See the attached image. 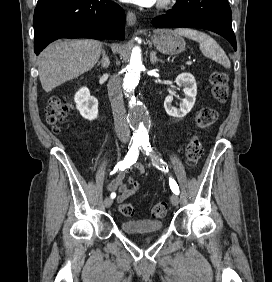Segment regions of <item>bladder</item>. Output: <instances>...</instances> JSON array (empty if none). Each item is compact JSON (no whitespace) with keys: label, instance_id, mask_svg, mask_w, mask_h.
Masks as SVG:
<instances>
[{"label":"bladder","instance_id":"obj_1","mask_svg":"<svg viewBox=\"0 0 272 282\" xmlns=\"http://www.w3.org/2000/svg\"><path fill=\"white\" fill-rule=\"evenodd\" d=\"M163 223L161 221L140 219L123 221L120 228L130 234L155 233L162 229Z\"/></svg>","mask_w":272,"mask_h":282}]
</instances>
